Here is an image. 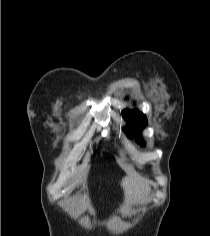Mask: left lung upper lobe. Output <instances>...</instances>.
Returning a JSON list of instances; mask_svg holds the SVG:
<instances>
[{
    "label": "left lung upper lobe",
    "mask_w": 210,
    "mask_h": 236,
    "mask_svg": "<svg viewBox=\"0 0 210 236\" xmlns=\"http://www.w3.org/2000/svg\"><path fill=\"white\" fill-rule=\"evenodd\" d=\"M122 116L126 119L129 125L128 128L124 129L127 135L130 138H137L139 142H142L140 134L143 128L147 125L146 116L137 110H124L122 112Z\"/></svg>",
    "instance_id": "5c2ea615"
}]
</instances>
